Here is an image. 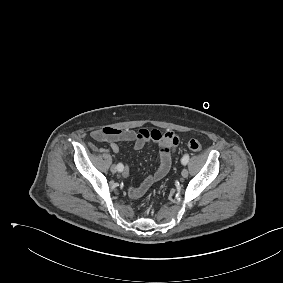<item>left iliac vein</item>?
<instances>
[{"mask_svg":"<svg viewBox=\"0 0 283 283\" xmlns=\"http://www.w3.org/2000/svg\"><path fill=\"white\" fill-rule=\"evenodd\" d=\"M181 176H182L183 178L188 177V170H187V169H183L182 172H181Z\"/></svg>","mask_w":283,"mask_h":283,"instance_id":"left-iliac-vein-1","label":"left iliac vein"}]
</instances>
